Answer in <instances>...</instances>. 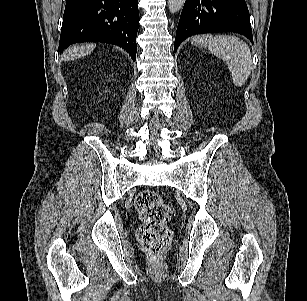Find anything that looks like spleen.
<instances>
[{"mask_svg":"<svg viewBox=\"0 0 307 301\" xmlns=\"http://www.w3.org/2000/svg\"><path fill=\"white\" fill-rule=\"evenodd\" d=\"M208 49L226 63L236 86L245 84L252 68L251 51L245 42L233 35H216Z\"/></svg>","mask_w":307,"mask_h":301,"instance_id":"3e777b00","label":"spleen"}]
</instances>
